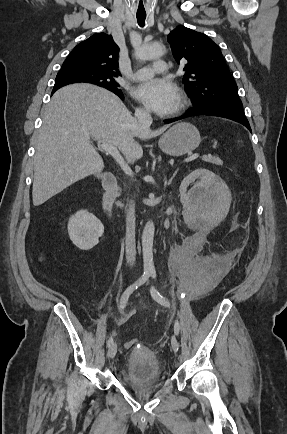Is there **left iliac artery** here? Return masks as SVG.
Segmentation results:
<instances>
[{"label":"left iliac artery","instance_id":"left-iliac-artery-1","mask_svg":"<svg viewBox=\"0 0 287 434\" xmlns=\"http://www.w3.org/2000/svg\"><path fill=\"white\" fill-rule=\"evenodd\" d=\"M151 276H152V278L153 279H155L156 278V272H151ZM150 293H151V296H152V298L156 301V302H158L159 304H161V305H163V306H165V307H170V303H169V301L166 299V298H164L155 288H154V286H152L151 287V289H150ZM179 331H180V325H179V322H178V320H176L175 321V323H174V333H175V335H178L179 334Z\"/></svg>","mask_w":287,"mask_h":434}]
</instances>
